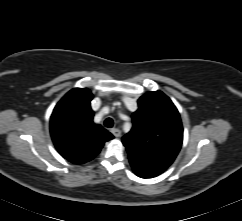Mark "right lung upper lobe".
<instances>
[{
  "label": "right lung upper lobe",
  "mask_w": 242,
  "mask_h": 221,
  "mask_svg": "<svg viewBox=\"0 0 242 221\" xmlns=\"http://www.w3.org/2000/svg\"><path fill=\"white\" fill-rule=\"evenodd\" d=\"M87 88L70 90L56 105L50 119V132L58 152L74 164L92 160L104 143L113 135L101 125L93 123Z\"/></svg>",
  "instance_id": "right-lung-upper-lobe-1"
}]
</instances>
